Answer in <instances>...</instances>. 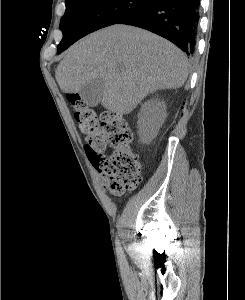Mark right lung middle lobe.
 <instances>
[{"mask_svg":"<svg viewBox=\"0 0 245 300\" xmlns=\"http://www.w3.org/2000/svg\"><path fill=\"white\" fill-rule=\"evenodd\" d=\"M152 0H65L60 21L63 38L57 46L61 53L74 42L100 28L118 23Z\"/></svg>","mask_w":245,"mask_h":300,"instance_id":"obj_1","label":"right lung middle lobe"}]
</instances>
